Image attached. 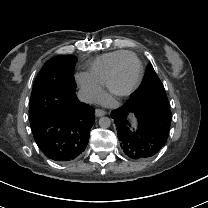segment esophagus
Returning <instances> with one entry per match:
<instances>
[{
	"mask_svg": "<svg viewBox=\"0 0 208 208\" xmlns=\"http://www.w3.org/2000/svg\"><path fill=\"white\" fill-rule=\"evenodd\" d=\"M105 114H106V112H105L104 110H102V109H96V110H95V115H96L97 117L104 116Z\"/></svg>",
	"mask_w": 208,
	"mask_h": 208,
	"instance_id": "obj_1",
	"label": "esophagus"
}]
</instances>
